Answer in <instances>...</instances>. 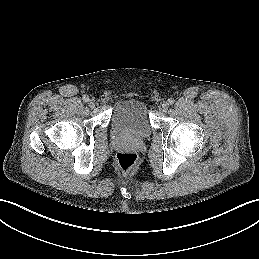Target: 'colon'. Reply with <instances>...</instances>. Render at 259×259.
Segmentation results:
<instances>
[{
	"label": "colon",
	"instance_id": "1",
	"mask_svg": "<svg viewBox=\"0 0 259 259\" xmlns=\"http://www.w3.org/2000/svg\"><path fill=\"white\" fill-rule=\"evenodd\" d=\"M116 163L119 169L123 173L127 174L132 172L136 168L138 164V157L133 152H119L116 155Z\"/></svg>",
	"mask_w": 259,
	"mask_h": 259
}]
</instances>
